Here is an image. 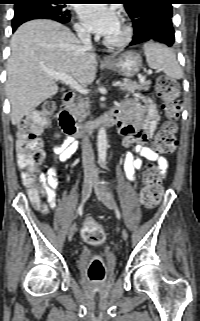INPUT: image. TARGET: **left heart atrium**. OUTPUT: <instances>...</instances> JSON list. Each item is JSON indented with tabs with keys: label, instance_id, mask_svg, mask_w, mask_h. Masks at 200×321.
Wrapping results in <instances>:
<instances>
[{
	"label": "left heart atrium",
	"instance_id": "left-heart-atrium-1",
	"mask_svg": "<svg viewBox=\"0 0 200 321\" xmlns=\"http://www.w3.org/2000/svg\"><path fill=\"white\" fill-rule=\"evenodd\" d=\"M78 14L89 31L102 36H108L120 25L115 9L106 4H83Z\"/></svg>",
	"mask_w": 200,
	"mask_h": 321
}]
</instances>
